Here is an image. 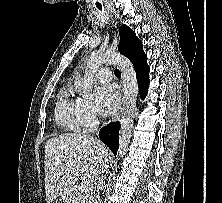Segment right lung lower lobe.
I'll list each match as a JSON object with an SVG mask.
<instances>
[{
	"instance_id": "98d812e1",
	"label": "right lung lower lobe",
	"mask_w": 222,
	"mask_h": 203,
	"mask_svg": "<svg viewBox=\"0 0 222 203\" xmlns=\"http://www.w3.org/2000/svg\"><path fill=\"white\" fill-rule=\"evenodd\" d=\"M119 128V122H111L99 132L100 140L111 149L114 155L117 154L119 145Z\"/></svg>"
}]
</instances>
